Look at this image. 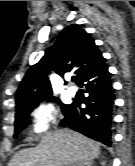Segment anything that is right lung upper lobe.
Returning <instances> with one entry per match:
<instances>
[{
    "label": "right lung upper lobe",
    "instance_id": "1",
    "mask_svg": "<svg viewBox=\"0 0 135 166\" xmlns=\"http://www.w3.org/2000/svg\"><path fill=\"white\" fill-rule=\"evenodd\" d=\"M103 59L89 33L77 24L66 27L42 59L27 71L16 93V110L52 97L46 76L51 70L60 76L74 70L79 79Z\"/></svg>",
    "mask_w": 135,
    "mask_h": 166
}]
</instances>
